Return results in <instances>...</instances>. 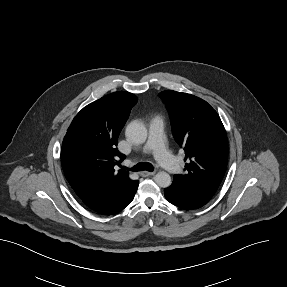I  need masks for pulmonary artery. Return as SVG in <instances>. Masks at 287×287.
Returning a JSON list of instances; mask_svg holds the SVG:
<instances>
[{"mask_svg": "<svg viewBox=\"0 0 287 287\" xmlns=\"http://www.w3.org/2000/svg\"><path fill=\"white\" fill-rule=\"evenodd\" d=\"M163 122L159 118H154L149 124V136L143 151H152L156 160L172 174L182 172V166L179 161L172 156L167 150L163 136Z\"/></svg>", "mask_w": 287, "mask_h": 287, "instance_id": "pulmonary-artery-1", "label": "pulmonary artery"}]
</instances>
